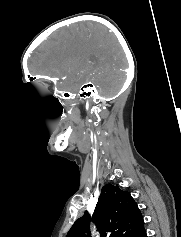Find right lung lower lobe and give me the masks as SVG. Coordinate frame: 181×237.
<instances>
[{
	"instance_id": "right-lung-lower-lobe-1",
	"label": "right lung lower lobe",
	"mask_w": 181,
	"mask_h": 237,
	"mask_svg": "<svg viewBox=\"0 0 181 237\" xmlns=\"http://www.w3.org/2000/svg\"><path fill=\"white\" fill-rule=\"evenodd\" d=\"M141 237H147L146 232H144V233L141 235Z\"/></svg>"
}]
</instances>
